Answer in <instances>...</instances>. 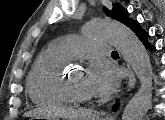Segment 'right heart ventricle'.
Here are the masks:
<instances>
[{
  "label": "right heart ventricle",
  "mask_w": 165,
  "mask_h": 120,
  "mask_svg": "<svg viewBox=\"0 0 165 120\" xmlns=\"http://www.w3.org/2000/svg\"><path fill=\"white\" fill-rule=\"evenodd\" d=\"M69 60L53 45L39 55L27 80L32 101L41 105H60L70 101L62 87L64 69Z\"/></svg>",
  "instance_id": "e07e8e85"
}]
</instances>
